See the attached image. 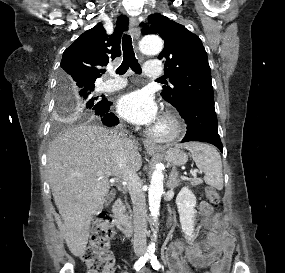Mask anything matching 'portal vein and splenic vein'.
I'll return each mask as SVG.
<instances>
[{
  "mask_svg": "<svg viewBox=\"0 0 285 273\" xmlns=\"http://www.w3.org/2000/svg\"><path fill=\"white\" fill-rule=\"evenodd\" d=\"M191 175H192L194 178H196V176H197V171L194 170V171L191 173ZM97 176L102 177V176H103V173H102V172H98V173H97ZM181 178H182V179H188L186 176H181Z\"/></svg>",
  "mask_w": 285,
  "mask_h": 273,
  "instance_id": "obj_1",
  "label": "portal vein and splenic vein"
}]
</instances>
